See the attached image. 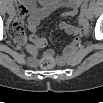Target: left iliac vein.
Wrapping results in <instances>:
<instances>
[{
  "label": "left iliac vein",
  "mask_w": 103,
  "mask_h": 103,
  "mask_svg": "<svg viewBox=\"0 0 103 103\" xmlns=\"http://www.w3.org/2000/svg\"><path fill=\"white\" fill-rule=\"evenodd\" d=\"M87 16H88L89 19H92V18H93L92 10H88Z\"/></svg>",
  "instance_id": "1"
}]
</instances>
